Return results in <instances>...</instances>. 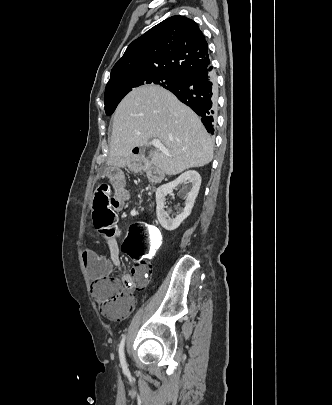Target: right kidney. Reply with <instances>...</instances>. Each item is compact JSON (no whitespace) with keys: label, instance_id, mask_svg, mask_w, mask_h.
<instances>
[{"label":"right kidney","instance_id":"1","mask_svg":"<svg viewBox=\"0 0 332 405\" xmlns=\"http://www.w3.org/2000/svg\"><path fill=\"white\" fill-rule=\"evenodd\" d=\"M191 184L190 192L185 196V208L181 214L176 215L175 218H170L165 211V197L172 193L173 189L183 182ZM201 185V176L196 171H187L181 174L174 181L161 185L156 190V215L161 226L167 231L177 229L180 224L191 214L194 206L195 199L198 195Z\"/></svg>","mask_w":332,"mask_h":405}]
</instances>
